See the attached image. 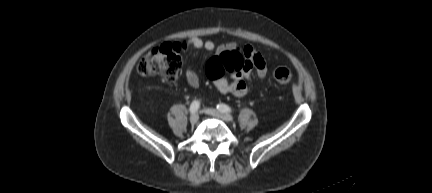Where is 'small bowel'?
<instances>
[{"label": "small bowel", "mask_w": 432, "mask_h": 193, "mask_svg": "<svg viewBox=\"0 0 432 193\" xmlns=\"http://www.w3.org/2000/svg\"><path fill=\"white\" fill-rule=\"evenodd\" d=\"M183 51L189 48L212 52L216 50L215 57H219L225 51H239L246 58V66L239 72L232 75V81H228L224 76L215 79V87L222 94H232L236 97H244L248 94V80L253 73L260 81H264L267 74V67L262 55L252 46L239 47L234 43H227L216 46L211 40H203L199 37H192L186 43L180 44ZM186 82L192 88H197L200 78L191 65L186 70Z\"/></svg>", "instance_id": "c3829d8e"}]
</instances>
